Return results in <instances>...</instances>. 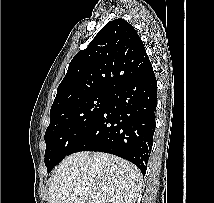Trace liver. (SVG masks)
Returning a JSON list of instances; mask_svg holds the SVG:
<instances>
[{
	"label": "liver",
	"mask_w": 214,
	"mask_h": 203,
	"mask_svg": "<svg viewBox=\"0 0 214 203\" xmlns=\"http://www.w3.org/2000/svg\"><path fill=\"white\" fill-rule=\"evenodd\" d=\"M141 181L132 163L102 152H77L56 168L49 187L50 203H135ZM75 189H82L75 194Z\"/></svg>",
	"instance_id": "6515ba94"
}]
</instances>
